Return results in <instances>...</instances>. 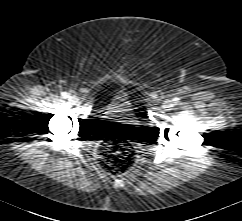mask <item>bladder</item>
<instances>
[{
	"mask_svg": "<svg viewBox=\"0 0 242 221\" xmlns=\"http://www.w3.org/2000/svg\"><path fill=\"white\" fill-rule=\"evenodd\" d=\"M132 107L126 102H112L109 104V114H127Z\"/></svg>",
	"mask_w": 242,
	"mask_h": 221,
	"instance_id": "obj_1",
	"label": "bladder"
}]
</instances>
